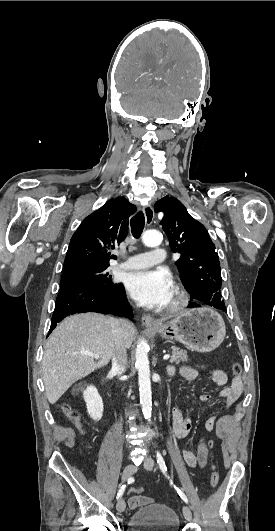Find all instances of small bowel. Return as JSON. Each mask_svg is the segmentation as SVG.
Returning a JSON list of instances; mask_svg holds the SVG:
<instances>
[{
  "label": "small bowel",
  "mask_w": 275,
  "mask_h": 531,
  "mask_svg": "<svg viewBox=\"0 0 275 531\" xmlns=\"http://www.w3.org/2000/svg\"><path fill=\"white\" fill-rule=\"evenodd\" d=\"M176 372V368L173 366L168 367V374L173 375ZM179 373L188 381L193 382L198 379L199 372L193 368L183 366L179 369ZM213 382L218 386H225L228 382L226 374L215 369L211 372ZM243 384L240 376H234L229 385L225 386L220 396L224 399V409H230L238 400L242 393ZM212 399L210 393H203L200 395L201 402H209ZM218 416L213 415L209 417L205 422V429L212 431L216 424ZM192 429V420L189 417H185L183 411L180 408H175L172 413V430L176 437L186 438L189 436ZM181 456L184 462L190 467L204 468L208 461L209 449L207 441L202 437L198 443L196 452L189 450H182ZM133 494L132 489L129 491ZM151 500L148 497L141 495H133L128 501V507L131 510H136L143 506L149 505Z\"/></svg>",
  "instance_id": "obj_1"
}]
</instances>
